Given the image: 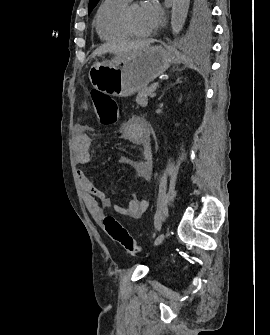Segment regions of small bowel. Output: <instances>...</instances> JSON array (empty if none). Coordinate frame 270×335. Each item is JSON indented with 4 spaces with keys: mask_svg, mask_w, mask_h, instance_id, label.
<instances>
[{
    "mask_svg": "<svg viewBox=\"0 0 270 335\" xmlns=\"http://www.w3.org/2000/svg\"><path fill=\"white\" fill-rule=\"evenodd\" d=\"M73 134L76 148L75 160L80 165H87L92 159L90 154L91 138L87 127L77 124ZM121 136L125 141L142 148L144 151L143 158L139 160L124 157L123 161L133 168L137 177L149 180L152 176L153 165L149 151L150 130L147 122L141 118L128 121L121 129ZM77 177L84 192V201L88 211L95 220H100L104 216V208L113 205L112 199L97 187L83 170H77ZM114 208L122 216L138 219L146 212L148 201L132 196L126 204H115Z\"/></svg>",
    "mask_w": 270,
    "mask_h": 335,
    "instance_id": "1",
    "label": "small bowel"
}]
</instances>
